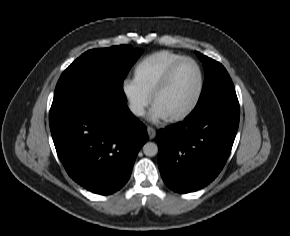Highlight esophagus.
<instances>
[{
	"mask_svg": "<svg viewBox=\"0 0 290 236\" xmlns=\"http://www.w3.org/2000/svg\"><path fill=\"white\" fill-rule=\"evenodd\" d=\"M148 130H149V133H150V134H152V135L155 134V132H154L151 128H148Z\"/></svg>",
	"mask_w": 290,
	"mask_h": 236,
	"instance_id": "esophagus-1",
	"label": "esophagus"
}]
</instances>
